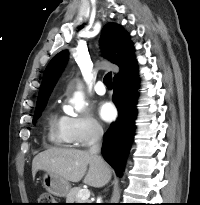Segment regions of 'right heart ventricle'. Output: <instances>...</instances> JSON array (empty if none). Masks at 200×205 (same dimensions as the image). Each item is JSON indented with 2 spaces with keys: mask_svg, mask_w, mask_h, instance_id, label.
<instances>
[{
  "mask_svg": "<svg viewBox=\"0 0 200 205\" xmlns=\"http://www.w3.org/2000/svg\"><path fill=\"white\" fill-rule=\"evenodd\" d=\"M63 117L57 118L55 115H51L48 124V137L49 140L55 144L62 145L69 143L63 133Z\"/></svg>",
  "mask_w": 200,
  "mask_h": 205,
  "instance_id": "right-heart-ventricle-1",
  "label": "right heart ventricle"
}]
</instances>
